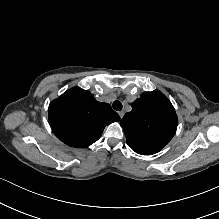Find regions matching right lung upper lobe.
<instances>
[{"mask_svg":"<svg viewBox=\"0 0 219 219\" xmlns=\"http://www.w3.org/2000/svg\"><path fill=\"white\" fill-rule=\"evenodd\" d=\"M49 124L54 134L72 147H87L96 142L106 125L120 121L107 103L79 87H73L49 106Z\"/></svg>","mask_w":219,"mask_h":219,"instance_id":"obj_1","label":"right lung upper lobe"}]
</instances>
